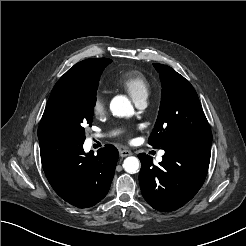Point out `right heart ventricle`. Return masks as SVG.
I'll list each match as a JSON object with an SVG mask.
<instances>
[{
	"label": "right heart ventricle",
	"instance_id": "e07e8e85",
	"mask_svg": "<svg viewBox=\"0 0 246 246\" xmlns=\"http://www.w3.org/2000/svg\"><path fill=\"white\" fill-rule=\"evenodd\" d=\"M117 84L123 87L134 101L147 98L150 92L149 81L143 74L137 71L121 74L117 79Z\"/></svg>",
	"mask_w": 246,
	"mask_h": 246
}]
</instances>
